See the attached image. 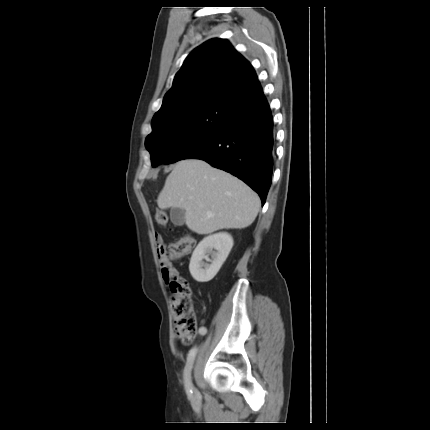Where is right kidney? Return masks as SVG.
<instances>
[{"mask_svg": "<svg viewBox=\"0 0 430 430\" xmlns=\"http://www.w3.org/2000/svg\"><path fill=\"white\" fill-rule=\"evenodd\" d=\"M232 247L233 239L228 233L222 232L205 237L195 248L190 260L189 271L194 280L200 283L212 280L225 262ZM210 254L212 260L208 257ZM204 259L210 261L211 264L205 263Z\"/></svg>", "mask_w": 430, "mask_h": 430, "instance_id": "obj_1", "label": "right kidney"}]
</instances>
